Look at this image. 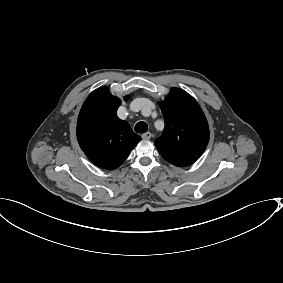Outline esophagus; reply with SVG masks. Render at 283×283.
Listing matches in <instances>:
<instances>
[{
	"label": "esophagus",
	"instance_id": "esophagus-1",
	"mask_svg": "<svg viewBox=\"0 0 283 283\" xmlns=\"http://www.w3.org/2000/svg\"><path fill=\"white\" fill-rule=\"evenodd\" d=\"M151 136H152V134H151L150 132H146V133L142 134L141 137H142L143 139H150Z\"/></svg>",
	"mask_w": 283,
	"mask_h": 283
}]
</instances>
